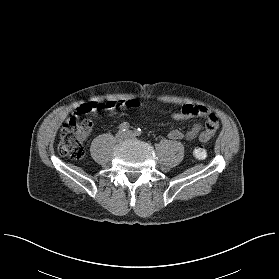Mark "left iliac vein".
<instances>
[{
    "label": "left iliac vein",
    "instance_id": "left-iliac-vein-1",
    "mask_svg": "<svg viewBox=\"0 0 279 279\" xmlns=\"http://www.w3.org/2000/svg\"><path fill=\"white\" fill-rule=\"evenodd\" d=\"M134 137H135V136H134V134H133L131 131H127V132H126V138H127V139H134Z\"/></svg>",
    "mask_w": 279,
    "mask_h": 279
}]
</instances>
